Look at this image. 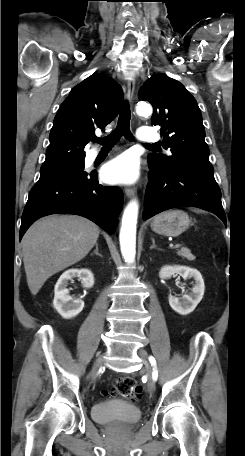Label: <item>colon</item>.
<instances>
[{
    "instance_id": "colon-1",
    "label": "colon",
    "mask_w": 245,
    "mask_h": 456,
    "mask_svg": "<svg viewBox=\"0 0 245 456\" xmlns=\"http://www.w3.org/2000/svg\"><path fill=\"white\" fill-rule=\"evenodd\" d=\"M107 395H121L132 401H138L142 397L143 388L130 376L117 377L113 382L111 390L105 392Z\"/></svg>"
}]
</instances>
